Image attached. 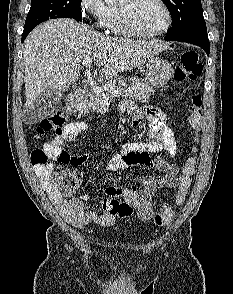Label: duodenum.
<instances>
[{"instance_id": "410a0bca", "label": "duodenum", "mask_w": 233, "mask_h": 294, "mask_svg": "<svg viewBox=\"0 0 233 294\" xmlns=\"http://www.w3.org/2000/svg\"><path fill=\"white\" fill-rule=\"evenodd\" d=\"M84 95V90H77L70 94L66 102V108L70 114H74L78 110L83 101Z\"/></svg>"}]
</instances>
